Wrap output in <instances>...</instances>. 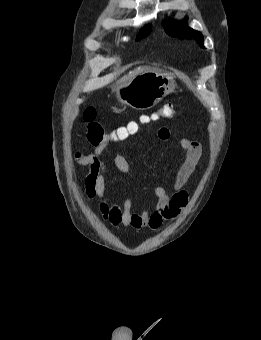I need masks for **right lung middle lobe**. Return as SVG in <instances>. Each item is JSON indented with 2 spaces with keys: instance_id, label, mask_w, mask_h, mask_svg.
<instances>
[{
  "instance_id": "dd1d6c3e",
  "label": "right lung middle lobe",
  "mask_w": 261,
  "mask_h": 340,
  "mask_svg": "<svg viewBox=\"0 0 261 340\" xmlns=\"http://www.w3.org/2000/svg\"><path fill=\"white\" fill-rule=\"evenodd\" d=\"M150 32V27L149 26H146L145 28H143L137 38V40H140L144 37H146Z\"/></svg>"
}]
</instances>
